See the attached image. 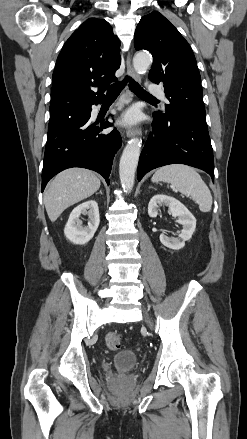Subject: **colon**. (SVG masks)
Returning <instances> with one entry per match:
<instances>
[{
  "label": "colon",
  "instance_id": "5ec220e1",
  "mask_svg": "<svg viewBox=\"0 0 247 439\" xmlns=\"http://www.w3.org/2000/svg\"><path fill=\"white\" fill-rule=\"evenodd\" d=\"M122 344V338L120 334L116 332L109 333L106 336V345L110 350H119Z\"/></svg>",
  "mask_w": 247,
  "mask_h": 439
}]
</instances>
